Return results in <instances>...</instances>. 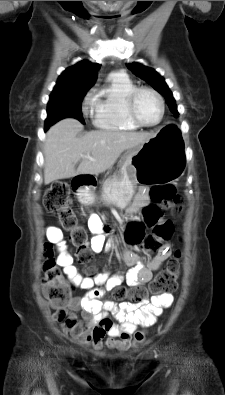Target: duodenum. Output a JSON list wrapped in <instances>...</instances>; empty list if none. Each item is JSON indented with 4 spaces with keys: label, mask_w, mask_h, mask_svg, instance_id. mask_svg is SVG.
<instances>
[{
    "label": "duodenum",
    "mask_w": 225,
    "mask_h": 395,
    "mask_svg": "<svg viewBox=\"0 0 225 395\" xmlns=\"http://www.w3.org/2000/svg\"><path fill=\"white\" fill-rule=\"evenodd\" d=\"M76 181L78 187H85L91 185L87 176H78Z\"/></svg>",
    "instance_id": "1"
}]
</instances>
